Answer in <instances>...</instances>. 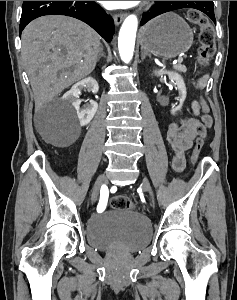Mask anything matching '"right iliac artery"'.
Listing matches in <instances>:
<instances>
[{"instance_id": "1", "label": "right iliac artery", "mask_w": 237, "mask_h": 300, "mask_svg": "<svg viewBox=\"0 0 237 300\" xmlns=\"http://www.w3.org/2000/svg\"><path fill=\"white\" fill-rule=\"evenodd\" d=\"M103 192H105V196L102 195ZM107 200H108L107 187L105 185H103L100 190V201L98 203L97 210H99V209L104 210L107 205Z\"/></svg>"}]
</instances>
